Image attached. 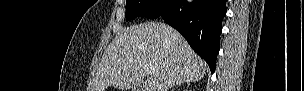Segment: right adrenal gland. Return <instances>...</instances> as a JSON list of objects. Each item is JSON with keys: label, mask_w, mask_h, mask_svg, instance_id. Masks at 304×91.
Instances as JSON below:
<instances>
[{"label": "right adrenal gland", "mask_w": 304, "mask_h": 91, "mask_svg": "<svg viewBox=\"0 0 304 91\" xmlns=\"http://www.w3.org/2000/svg\"><path fill=\"white\" fill-rule=\"evenodd\" d=\"M186 83H189V82H186ZM182 83H179V84H176V85H174L173 87H178V86H180Z\"/></svg>", "instance_id": "right-adrenal-gland-1"}]
</instances>
